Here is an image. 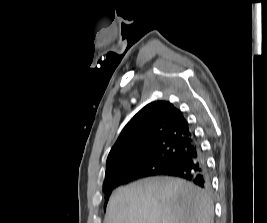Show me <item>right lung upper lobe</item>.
I'll return each instance as SVG.
<instances>
[{
  "instance_id": "obj_1",
  "label": "right lung upper lobe",
  "mask_w": 267,
  "mask_h": 223,
  "mask_svg": "<svg viewBox=\"0 0 267 223\" xmlns=\"http://www.w3.org/2000/svg\"><path fill=\"white\" fill-rule=\"evenodd\" d=\"M194 142L195 137L179 109L167 101L152 102L122 130L108 155L105 180L129 172L133 161L149 157L161 146L176 145L185 150Z\"/></svg>"
}]
</instances>
